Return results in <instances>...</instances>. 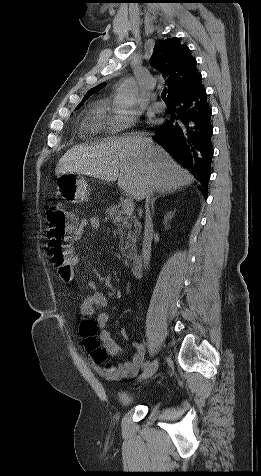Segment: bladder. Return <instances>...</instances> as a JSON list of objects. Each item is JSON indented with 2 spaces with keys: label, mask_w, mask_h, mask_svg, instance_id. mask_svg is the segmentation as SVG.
Returning a JSON list of instances; mask_svg holds the SVG:
<instances>
[{
  "label": "bladder",
  "mask_w": 261,
  "mask_h": 476,
  "mask_svg": "<svg viewBox=\"0 0 261 476\" xmlns=\"http://www.w3.org/2000/svg\"><path fill=\"white\" fill-rule=\"evenodd\" d=\"M118 401L124 406H130L136 402V399L134 398V396L127 392H119Z\"/></svg>",
  "instance_id": "31cf9c89"
}]
</instances>
